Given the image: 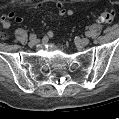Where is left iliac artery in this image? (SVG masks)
<instances>
[{
	"label": "left iliac artery",
	"mask_w": 119,
	"mask_h": 119,
	"mask_svg": "<svg viewBox=\"0 0 119 119\" xmlns=\"http://www.w3.org/2000/svg\"><path fill=\"white\" fill-rule=\"evenodd\" d=\"M86 36L90 37L91 33L90 32H86Z\"/></svg>",
	"instance_id": "obj_1"
}]
</instances>
